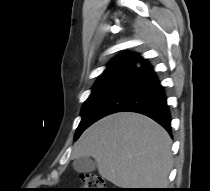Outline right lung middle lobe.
<instances>
[{"label": "right lung middle lobe", "instance_id": "dd1d6c3e", "mask_svg": "<svg viewBox=\"0 0 210 191\" xmlns=\"http://www.w3.org/2000/svg\"><path fill=\"white\" fill-rule=\"evenodd\" d=\"M131 57L121 56L114 59L109 67L99 76L89 98L85 101L81 115L82 120L76 130L74 139L77 140L83 131L95 121V114L122 75Z\"/></svg>", "mask_w": 210, "mask_h": 191}]
</instances>
